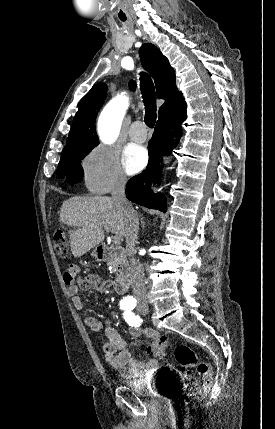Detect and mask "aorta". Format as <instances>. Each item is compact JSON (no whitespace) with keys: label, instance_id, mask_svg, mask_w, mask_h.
<instances>
[{"label":"aorta","instance_id":"762f6f07","mask_svg":"<svg viewBox=\"0 0 275 429\" xmlns=\"http://www.w3.org/2000/svg\"><path fill=\"white\" fill-rule=\"evenodd\" d=\"M125 108V101L113 100L102 111L98 125L103 142L112 143L118 136Z\"/></svg>","mask_w":275,"mask_h":429}]
</instances>
